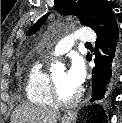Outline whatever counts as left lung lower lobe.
Returning a JSON list of instances; mask_svg holds the SVG:
<instances>
[{
    "instance_id": "left-lung-lower-lobe-1",
    "label": "left lung lower lobe",
    "mask_w": 122,
    "mask_h": 123,
    "mask_svg": "<svg viewBox=\"0 0 122 123\" xmlns=\"http://www.w3.org/2000/svg\"><path fill=\"white\" fill-rule=\"evenodd\" d=\"M96 48H100L105 54L101 57L98 51H95L93 77V94L90 101L110 99L118 84L119 71L122 65V36L119 34L118 25L113 14H111L101 29L96 31ZM92 56L87 55L91 60Z\"/></svg>"
}]
</instances>
